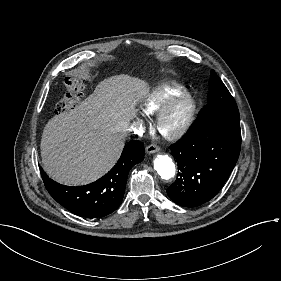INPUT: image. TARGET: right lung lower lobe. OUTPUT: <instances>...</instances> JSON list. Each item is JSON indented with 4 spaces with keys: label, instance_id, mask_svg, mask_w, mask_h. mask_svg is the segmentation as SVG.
Wrapping results in <instances>:
<instances>
[{
    "label": "right lung lower lobe",
    "instance_id": "98d812e1",
    "mask_svg": "<svg viewBox=\"0 0 281 281\" xmlns=\"http://www.w3.org/2000/svg\"><path fill=\"white\" fill-rule=\"evenodd\" d=\"M143 159V144L131 141L106 175L91 184L77 187L61 185L50 179L41 168L40 171L48 192L63 207L82 217H104L120 206L128 172Z\"/></svg>",
    "mask_w": 281,
    "mask_h": 281
}]
</instances>
